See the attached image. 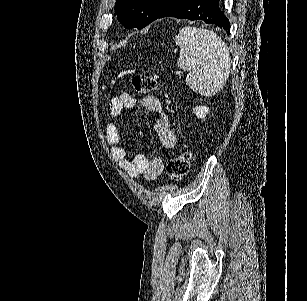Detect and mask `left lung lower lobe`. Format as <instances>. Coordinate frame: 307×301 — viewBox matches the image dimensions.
Returning a JSON list of instances; mask_svg holds the SVG:
<instances>
[{"instance_id":"0a47b994","label":"left lung lower lobe","mask_w":307,"mask_h":301,"mask_svg":"<svg viewBox=\"0 0 307 301\" xmlns=\"http://www.w3.org/2000/svg\"><path fill=\"white\" fill-rule=\"evenodd\" d=\"M219 1L176 0L158 18L176 17L179 19L203 20L205 23L218 25L230 34L229 20L220 10Z\"/></svg>"}]
</instances>
